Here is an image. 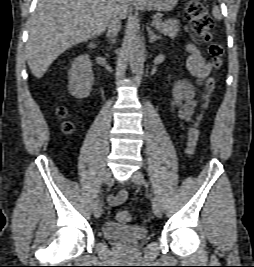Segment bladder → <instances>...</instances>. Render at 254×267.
Wrapping results in <instances>:
<instances>
[{
	"instance_id": "bladder-1",
	"label": "bladder",
	"mask_w": 254,
	"mask_h": 267,
	"mask_svg": "<svg viewBox=\"0 0 254 267\" xmlns=\"http://www.w3.org/2000/svg\"><path fill=\"white\" fill-rule=\"evenodd\" d=\"M102 233L108 240L122 244H137L147 237V229L141 226H125L115 222H107Z\"/></svg>"
}]
</instances>
